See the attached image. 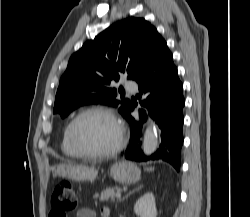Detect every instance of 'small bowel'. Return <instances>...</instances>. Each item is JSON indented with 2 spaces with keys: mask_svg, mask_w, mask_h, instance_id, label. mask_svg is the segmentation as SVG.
I'll use <instances>...</instances> for the list:
<instances>
[{
  "mask_svg": "<svg viewBox=\"0 0 250 217\" xmlns=\"http://www.w3.org/2000/svg\"><path fill=\"white\" fill-rule=\"evenodd\" d=\"M101 217H109L110 210L107 207H103L100 210ZM76 217H95V212L90 208H81L76 212Z\"/></svg>",
  "mask_w": 250,
  "mask_h": 217,
  "instance_id": "small-bowel-1",
  "label": "small bowel"
}]
</instances>
